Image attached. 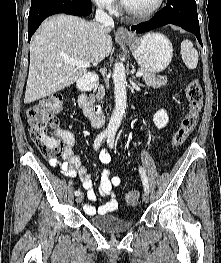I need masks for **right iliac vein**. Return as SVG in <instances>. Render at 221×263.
<instances>
[{"label":"right iliac vein","instance_id":"1","mask_svg":"<svg viewBox=\"0 0 221 263\" xmlns=\"http://www.w3.org/2000/svg\"><path fill=\"white\" fill-rule=\"evenodd\" d=\"M83 198H84L83 194L78 195V196L76 197V202H77V203L82 202V201H83Z\"/></svg>","mask_w":221,"mask_h":263}]
</instances>
